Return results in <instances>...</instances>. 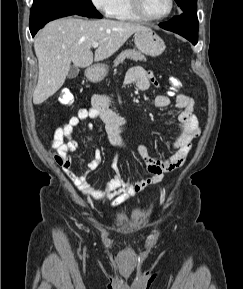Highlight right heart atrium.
<instances>
[{
  "label": "right heart atrium",
  "mask_w": 243,
  "mask_h": 289,
  "mask_svg": "<svg viewBox=\"0 0 243 289\" xmlns=\"http://www.w3.org/2000/svg\"><path fill=\"white\" fill-rule=\"evenodd\" d=\"M116 0H91L92 4L105 14H110Z\"/></svg>",
  "instance_id": "d8ad5b80"
}]
</instances>
